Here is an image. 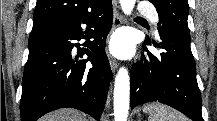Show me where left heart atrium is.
Wrapping results in <instances>:
<instances>
[{
	"label": "left heart atrium",
	"mask_w": 217,
	"mask_h": 121,
	"mask_svg": "<svg viewBox=\"0 0 217 121\" xmlns=\"http://www.w3.org/2000/svg\"><path fill=\"white\" fill-rule=\"evenodd\" d=\"M113 50L118 55H125L130 50V42L125 35L118 36L113 43Z\"/></svg>",
	"instance_id": "1"
}]
</instances>
